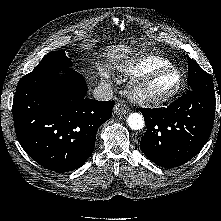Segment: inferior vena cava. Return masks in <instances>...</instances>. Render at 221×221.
Wrapping results in <instances>:
<instances>
[{"label":"inferior vena cava","instance_id":"inferior-vena-cava-1","mask_svg":"<svg viewBox=\"0 0 221 221\" xmlns=\"http://www.w3.org/2000/svg\"><path fill=\"white\" fill-rule=\"evenodd\" d=\"M93 96L99 101H108L113 98V89L110 84L101 82L94 90Z\"/></svg>","mask_w":221,"mask_h":221}]
</instances>
